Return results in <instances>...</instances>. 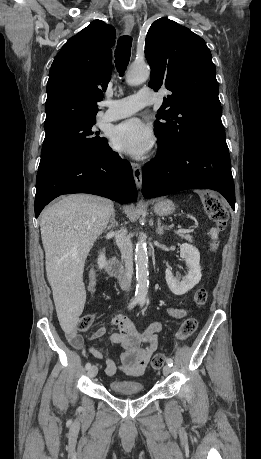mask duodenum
Instances as JSON below:
<instances>
[{"mask_svg": "<svg viewBox=\"0 0 261 459\" xmlns=\"http://www.w3.org/2000/svg\"><path fill=\"white\" fill-rule=\"evenodd\" d=\"M101 255L104 258V263L108 273L118 280L123 282L127 281V273L120 261L114 256L110 255L106 248L101 250Z\"/></svg>", "mask_w": 261, "mask_h": 459, "instance_id": "410a0bca", "label": "duodenum"}]
</instances>
